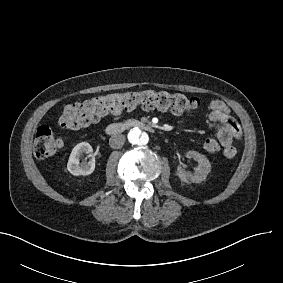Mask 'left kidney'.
I'll use <instances>...</instances> for the list:
<instances>
[{"mask_svg":"<svg viewBox=\"0 0 283 283\" xmlns=\"http://www.w3.org/2000/svg\"><path fill=\"white\" fill-rule=\"evenodd\" d=\"M188 159H193L198 163V166L194 172L186 171L182 164L177 167V174L185 183L201 182L206 178V175L210 171V164L207 158L195 151H188L185 154Z\"/></svg>","mask_w":283,"mask_h":283,"instance_id":"1","label":"left kidney"}]
</instances>
